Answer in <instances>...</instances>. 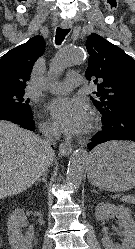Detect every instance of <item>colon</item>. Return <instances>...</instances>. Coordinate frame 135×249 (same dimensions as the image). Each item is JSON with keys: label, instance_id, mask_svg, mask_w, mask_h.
Masks as SVG:
<instances>
[{"label": "colon", "instance_id": "colon-1", "mask_svg": "<svg viewBox=\"0 0 135 249\" xmlns=\"http://www.w3.org/2000/svg\"><path fill=\"white\" fill-rule=\"evenodd\" d=\"M0 249H2V245H1V243H0Z\"/></svg>", "mask_w": 135, "mask_h": 249}]
</instances>
